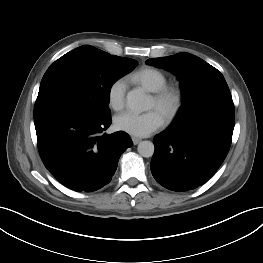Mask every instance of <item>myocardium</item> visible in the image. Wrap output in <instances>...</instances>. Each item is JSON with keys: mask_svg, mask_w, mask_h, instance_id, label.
Instances as JSON below:
<instances>
[{"mask_svg": "<svg viewBox=\"0 0 263 263\" xmlns=\"http://www.w3.org/2000/svg\"><path fill=\"white\" fill-rule=\"evenodd\" d=\"M152 98L156 108L167 122L172 121L180 113L184 104V92L177 85H165L153 92Z\"/></svg>", "mask_w": 263, "mask_h": 263, "instance_id": "myocardium-1", "label": "myocardium"}]
</instances>
